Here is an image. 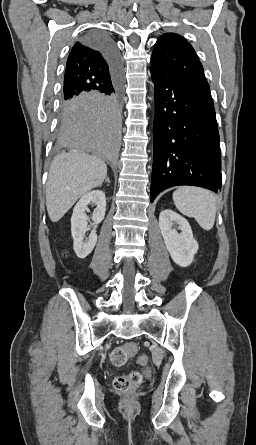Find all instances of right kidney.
Wrapping results in <instances>:
<instances>
[{
	"label": "right kidney",
	"mask_w": 256,
	"mask_h": 445,
	"mask_svg": "<svg viewBox=\"0 0 256 445\" xmlns=\"http://www.w3.org/2000/svg\"><path fill=\"white\" fill-rule=\"evenodd\" d=\"M91 203L96 205L93 214L94 228L89 238L84 240L88 219L85 211ZM105 211L106 197L105 193L101 190H93L83 195L74 207L71 217V234L74 240L73 248L79 258H86L94 249L97 242L96 228L104 219Z\"/></svg>",
	"instance_id": "1"
}]
</instances>
